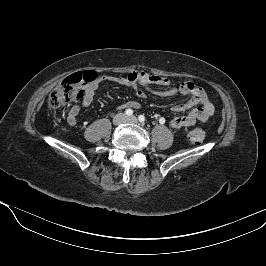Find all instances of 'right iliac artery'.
I'll return each mask as SVG.
<instances>
[{"label": "right iliac artery", "instance_id": "82829eb1", "mask_svg": "<svg viewBox=\"0 0 266 266\" xmlns=\"http://www.w3.org/2000/svg\"><path fill=\"white\" fill-rule=\"evenodd\" d=\"M125 114L128 115V116H131L133 114V110L132 109H127L125 111Z\"/></svg>", "mask_w": 266, "mask_h": 266}]
</instances>
